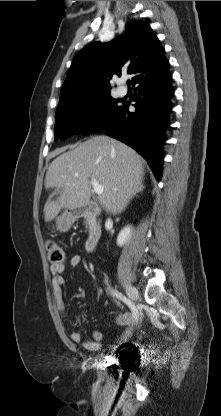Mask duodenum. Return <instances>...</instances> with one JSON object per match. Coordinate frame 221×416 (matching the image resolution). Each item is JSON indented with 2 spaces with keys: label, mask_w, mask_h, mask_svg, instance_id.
Returning a JSON list of instances; mask_svg holds the SVG:
<instances>
[{
  "label": "duodenum",
  "mask_w": 221,
  "mask_h": 416,
  "mask_svg": "<svg viewBox=\"0 0 221 416\" xmlns=\"http://www.w3.org/2000/svg\"><path fill=\"white\" fill-rule=\"evenodd\" d=\"M98 210V205L95 202H88L81 207L71 209L70 213L73 217L76 218L90 217L93 219L94 216L98 213ZM100 239L101 230L94 222H91V229L86 240V250L88 252H93L96 249Z\"/></svg>",
  "instance_id": "410a0bca"
}]
</instances>
